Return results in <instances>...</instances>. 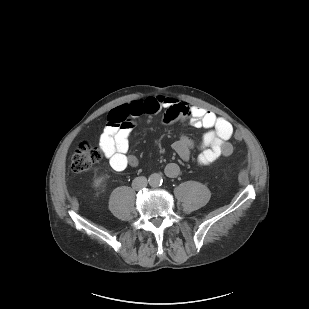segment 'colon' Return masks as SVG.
Instances as JSON below:
<instances>
[{
  "mask_svg": "<svg viewBox=\"0 0 309 309\" xmlns=\"http://www.w3.org/2000/svg\"><path fill=\"white\" fill-rule=\"evenodd\" d=\"M236 140L242 138L240 133H235ZM101 152L88 143H81L77 146L71 157V170L74 173H83L93 168L100 161Z\"/></svg>",
  "mask_w": 309,
  "mask_h": 309,
  "instance_id": "1",
  "label": "colon"
}]
</instances>
